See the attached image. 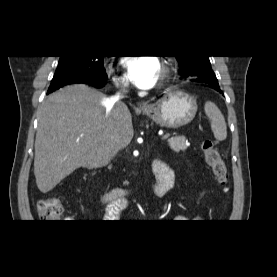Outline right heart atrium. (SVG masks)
I'll use <instances>...</instances> for the list:
<instances>
[{"instance_id": "1", "label": "right heart atrium", "mask_w": 277, "mask_h": 277, "mask_svg": "<svg viewBox=\"0 0 277 277\" xmlns=\"http://www.w3.org/2000/svg\"><path fill=\"white\" fill-rule=\"evenodd\" d=\"M113 79H114L115 83L118 84L119 86L126 83V80L124 77L114 76Z\"/></svg>"}]
</instances>
